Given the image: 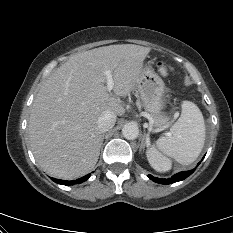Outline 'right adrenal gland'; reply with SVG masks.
I'll return each mask as SVG.
<instances>
[{"mask_svg":"<svg viewBox=\"0 0 233 233\" xmlns=\"http://www.w3.org/2000/svg\"><path fill=\"white\" fill-rule=\"evenodd\" d=\"M103 139H104V134L102 135V142H103Z\"/></svg>","mask_w":233,"mask_h":233,"instance_id":"1","label":"right adrenal gland"}]
</instances>
